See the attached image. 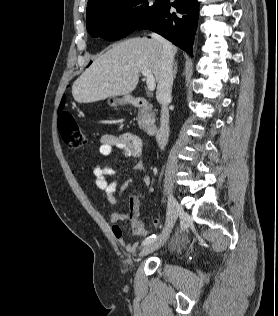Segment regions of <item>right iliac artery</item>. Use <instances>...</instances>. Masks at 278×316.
I'll list each match as a JSON object with an SVG mask.
<instances>
[{"label": "right iliac artery", "instance_id": "right-iliac-artery-1", "mask_svg": "<svg viewBox=\"0 0 278 316\" xmlns=\"http://www.w3.org/2000/svg\"><path fill=\"white\" fill-rule=\"evenodd\" d=\"M157 238V236L155 234L147 237L144 241H143V245H147L149 243H151L152 241H154Z\"/></svg>", "mask_w": 278, "mask_h": 316}]
</instances>
